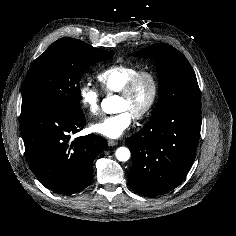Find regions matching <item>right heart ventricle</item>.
<instances>
[{
  "label": "right heart ventricle",
  "instance_id": "1",
  "mask_svg": "<svg viewBox=\"0 0 236 236\" xmlns=\"http://www.w3.org/2000/svg\"><path fill=\"white\" fill-rule=\"evenodd\" d=\"M138 70L140 67L135 64H113L100 71L96 78L102 91L109 95L120 92L129 78Z\"/></svg>",
  "mask_w": 236,
  "mask_h": 236
}]
</instances>
